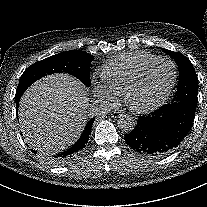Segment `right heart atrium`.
I'll return each mask as SVG.
<instances>
[{"label": "right heart atrium", "mask_w": 207, "mask_h": 207, "mask_svg": "<svg viewBox=\"0 0 207 207\" xmlns=\"http://www.w3.org/2000/svg\"><path fill=\"white\" fill-rule=\"evenodd\" d=\"M91 85L93 94L97 99L105 103H111L114 101L115 98L113 94L104 83L98 81L96 78L93 77L91 80Z\"/></svg>", "instance_id": "right-heart-atrium-1"}]
</instances>
